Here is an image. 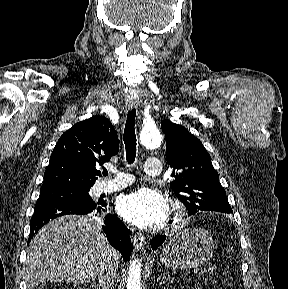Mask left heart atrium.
<instances>
[{
  "label": "left heart atrium",
  "instance_id": "obj_1",
  "mask_svg": "<svg viewBox=\"0 0 288 289\" xmlns=\"http://www.w3.org/2000/svg\"><path fill=\"white\" fill-rule=\"evenodd\" d=\"M116 208L125 220L138 227L160 226L169 216L166 199L150 188H139L119 197Z\"/></svg>",
  "mask_w": 288,
  "mask_h": 289
}]
</instances>
